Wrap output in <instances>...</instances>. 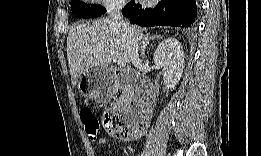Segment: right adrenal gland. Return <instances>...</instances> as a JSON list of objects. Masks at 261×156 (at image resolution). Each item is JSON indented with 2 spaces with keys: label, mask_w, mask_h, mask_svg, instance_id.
Masks as SVG:
<instances>
[{
  "label": "right adrenal gland",
  "mask_w": 261,
  "mask_h": 156,
  "mask_svg": "<svg viewBox=\"0 0 261 156\" xmlns=\"http://www.w3.org/2000/svg\"><path fill=\"white\" fill-rule=\"evenodd\" d=\"M161 38V35H154V36H151L149 37L148 39H145L144 41H142L141 43V57H145V50H146V47L149 45L150 41L151 40H154V39H160Z\"/></svg>",
  "instance_id": "1"
}]
</instances>
